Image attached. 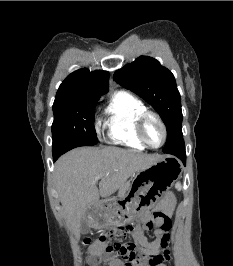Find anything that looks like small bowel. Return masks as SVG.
I'll return each mask as SVG.
<instances>
[{
  "label": "small bowel",
  "instance_id": "1",
  "mask_svg": "<svg viewBox=\"0 0 233 266\" xmlns=\"http://www.w3.org/2000/svg\"><path fill=\"white\" fill-rule=\"evenodd\" d=\"M155 211H161L166 214L169 218L172 216L174 211V199L169 196L160 204H158ZM148 214L144 213L142 215V220L147 222L149 220ZM171 225L167 229H163L161 227V223L156 221L154 223V235L155 239L149 241L147 237L144 235V231L136 227L135 230L132 232V236L135 240V248L136 250L147 256V257H156L159 259L157 263L153 266H166L164 261L169 258V230ZM106 243L102 242H94L90 247V256H89V263L92 266H127L126 262L118 257H106L105 256V248ZM134 266H150L149 263L145 262L140 265Z\"/></svg>",
  "mask_w": 233,
  "mask_h": 266
}]
</instances>
